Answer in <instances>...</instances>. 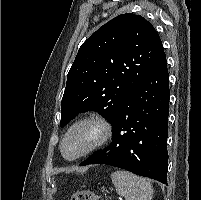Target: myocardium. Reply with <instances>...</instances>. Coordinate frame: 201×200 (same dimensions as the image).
I'll list each match as a JSON object with an SVG mask.
<instances>
[{"label": "myocardium", "mask_w": 201, "mask_h": 200, "mask_svg": "<svg viewBox=\"0 0 201 200\" xmlns=\"http://www.w3.org/2000/svg\"><path fill=\"white\" fill-rule=\"evenodd\" d=\"M82 125H91L95 127L98 131L97 138L95 141L92 143L91 146H89L85 151L82 153L78 154L75 157L69 158L65 155L64 152V147H65V142L70 135V133L77 127L82 126ZM113 135V128L111 123L103 116L98 115V114H89L87 116H84L77 121H75L66 131L62 142H61V153L63 157L68 160V161H76L79 160L92 152L104 147L112 138Z\"/></svg>", "instance_id": "obj_1"}]
</instances>
